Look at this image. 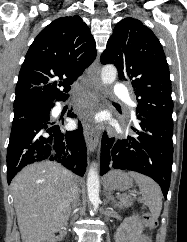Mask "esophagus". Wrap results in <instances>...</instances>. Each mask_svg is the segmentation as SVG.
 Listing matches in <instances>:
<instances>
[{
	"label": "esophagus",
	"instance_id": "obj_1",
	"mask_svg": "<svg viewBox=\"0 0 187 242\" xmlns=\"http://www.w3.org/2000/svg\"><path fill=\"white\" fill-rule=\"evenodd\" d=\"M89 83L87 85V92L93 97H98V91L100 89V61L96 59L89 68ZM84 136L87 148L90 152H94L99 143V133L94 128L91 117L85 118L84 124Z\"/></svg>",
	"mask_w": 187,
	"mask_h": 242
}]
</instances>
